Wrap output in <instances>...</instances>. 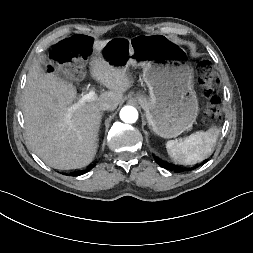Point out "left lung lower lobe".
Masks as SVG:
<instances>
[{
  "instance_id": "1",
  "label": "left lung lower lobe",
  "mask_w": 253,
  "mask_h": 253,
  "mask_svg": "<svg viewBox=\"0 0 253 253\" xmlns=\"http://www.w3.org/2000/svg\"><path fill=\"white\" fill-rule=\"evenodd\" d=\"M156 162L163 168L168 170H173L175 172H182L184 171L183 168H177L176 166L169 164L168 162H165L159 158H155Z\"/></svg>"
}]
</instances>
